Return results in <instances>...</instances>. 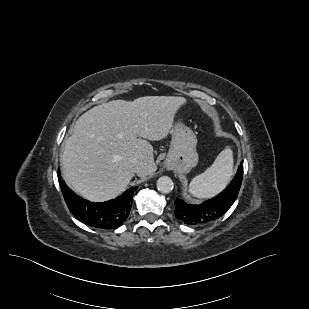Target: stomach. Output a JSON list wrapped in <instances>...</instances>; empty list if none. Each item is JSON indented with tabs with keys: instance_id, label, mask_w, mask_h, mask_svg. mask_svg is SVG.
Instances as JSON below:
<instances>
[{
	"instance_id": "stomach-1",
	"label": "stomach",
	"mask_w": 309,
	"mask_h": 309,
	"mask_svg": "<svg viewBox=\"0 0 309 309\" xmlns=\"http://www.w3.org/2000/svg\"><path fill=\"white\" fill-rule=\"evenodd\" d=\"M171 146L165 164L174 166L181 173H187L198 163L196 151L197 137L195 133L181 121L171 129Z\"/></svg>"
}]
</instances>
